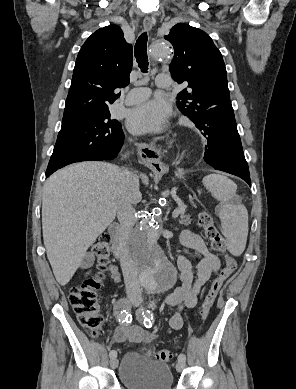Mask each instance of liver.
Masks as SVG:
<instances>
[{
    "mask_svg": "<svg viewBox=\"0 0 296 389\" xmlns=\"http://www.w3.org/2000/svg\"><path fill=\"white\" fill-rule=\"evenodd\" d=\"M118 171V166L110 163L81 162L55 172L45 183L43 240L54 276L62 286L115 219L120 199ZM129 192L132 202L141 200L135 174Z\"/></svg>",
    "mask_w": 296,
    "mask_h": 389,
    "instance_id": "1",
    "label": "liver"
}]
</instances>
